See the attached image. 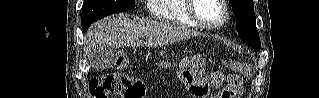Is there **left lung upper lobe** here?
I'll return each instance as SVG.
<instances>
[{
  "label": "left lung upper lobe",
  "instance_id": "1",
  "mask_svg": "<svg viewBox=\"0 0 319 98\" xmlns=\"http://www.w3.org/2000/svg\"><path fill=\"white\" fill-rule=\"evenodd\" d=\"M237 19L238 35L249 46L259 51L260 38L256 29V20L252 0H229Z\"/></svg>",
  "mask_w": 319,
  "mask_h": 98
}]
</instances>
